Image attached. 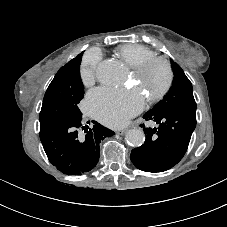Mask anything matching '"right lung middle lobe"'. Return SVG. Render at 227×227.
Here are the masks:
<instances>
[{
  "label": "right lung middle lobe",
  "mask_w": 227,
  "mask_h": 227,
  "mask_svg": "<svg viewBox=\"0 0 227 227\" xmlns=\"http://www.w3.org/2000/svg\"><path fill=\"white\" fill-rule=\"evenodd\" d=\"M81 57L82 53L78 61L61 67L48 86L39 114L40 129L60 120H81L82 113L78 108L84 96L79 71Z\"/></svg>",
  "instance_id": "right-lung-middle-lobe-1"
}]
</instances>
